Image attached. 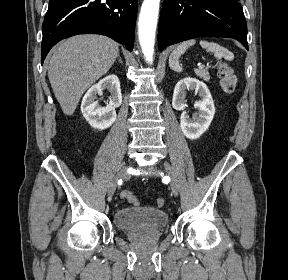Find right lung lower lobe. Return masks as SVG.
I'll use <instances>...</instances> for the list:
<instances>
[{"label":"right lung lower lobe","instance_id":"right-lung-lower-lobe-1","mask_svg":"<svg viewBox=\"0 0 288 280\" xmlns=\"http://www.w3.org/2000/svg\"><path fill=\"white\" fill-rule=\"evenodd\" d=\"M138 0H50L42 26L41 63L60 40L94 33L134 45Z\"/></svg>","mask_w":288,"mask_h":280}]
</instances>
